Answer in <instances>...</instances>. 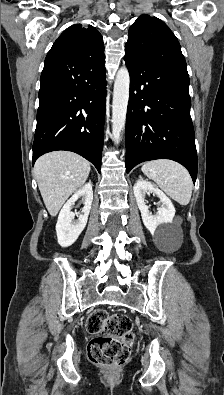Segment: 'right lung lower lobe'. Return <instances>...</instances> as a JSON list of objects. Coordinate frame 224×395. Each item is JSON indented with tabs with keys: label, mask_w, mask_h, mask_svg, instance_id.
I'll list each match as a JSON object with an SVG mask.
<instances>
[{
	"label": "right lung lower lobe",
	"mask_w": 224,
	"mask_h": 395,
	"mask_svg": "<svg viewBox=\"0 0 224 395\" xmlns=\"http://www.w3.org/2000/svg\"><path fill=\"white\" fill-rule=\"evenodd\" d=\"M104 58H82L66 47L49 51L40 80L33 164L47 152L67 150L80 154L100 172L106 101Z\"/></svg>",
	"instance_id": "1"
}]
</instances>
